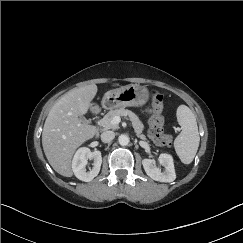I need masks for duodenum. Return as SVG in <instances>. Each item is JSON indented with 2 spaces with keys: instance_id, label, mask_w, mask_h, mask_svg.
Listing matches in <instances>:
<instances>
[{
  "instance_id": "duodenum-1",
  "label": "duodenum",
  "mask_w": 243,
  "mask_h": 243,
  "mask_svg": "<svg viewBox=\"0 0 243 243\" xmlns=\"http://www.w3.org/2000/svg\"><path fill=\"white\" fill-rule=\"evenodd\" d=\"M100 112V109H97L96 111H95V113H99Z\"/></svg>"
}]
</instances>
